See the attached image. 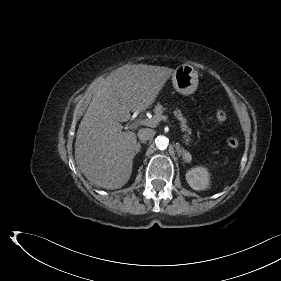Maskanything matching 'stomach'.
<instances>
[{"label": "stomach", "instance_id": "stomach-1", "mask_svg": "<svg viewBox=\"0 0 281 281\" xmlns=\"http://www.w3.org/2000/svg\"><path fill=\"white\" fill-rule=\"evenodd\" d=\"M172 84L182 95L193 94L198 87V73L191 65L178 66L172 74Z\"/></svg>", "mask_w": 281, "mask_h": 281}]
</instances>
